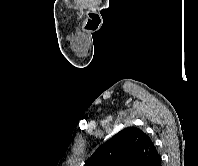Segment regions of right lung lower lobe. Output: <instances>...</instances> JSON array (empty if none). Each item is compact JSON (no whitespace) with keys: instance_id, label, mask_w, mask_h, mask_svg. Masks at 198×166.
<instances>
[{"instance_id":"obj_1","label":"right lung lower lobe","mask_w":198,"mask_h":166,"mask_svg":"<svg viewBox=\"0 0 198 166\" xmlns=\"http://www.w3.org/2000/svg\"><path fill=\"white\" fill-rule=\"evenodd\" d=\"M150 166H161V157H160V155L155 160L152 161Z\"/></svg>"}]
</instances>
